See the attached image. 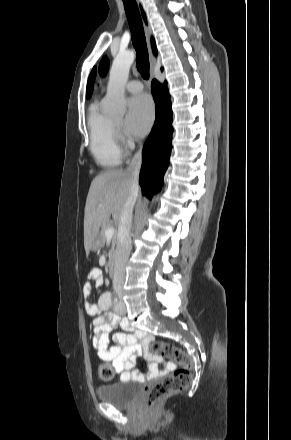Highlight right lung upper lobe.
<instances>
[{
	"mask_svg": "<svg viewBox=\"0 0 291 440\" xmlns=\"http://www.w3.org/2000/svg\"><path fill=\"white\" fill-rule=\"evenodd\" d=\"M152 49H153V53L156 55L157 54V50H156V46H155V42H154L153 38H152ZM95 75H96V68L94 67L92 72H91V74H90V77H89V80H88V84H87L86 96L88 98L90 97V95L92 93V90H93V79H94Z\"/></svg>",
	"mask_w": 291,
	"mask_h": 440,
	"instance_id": "right-lung-upper-lobe-1",
	"label": "right lung upper lobe"
}]
</instances>
